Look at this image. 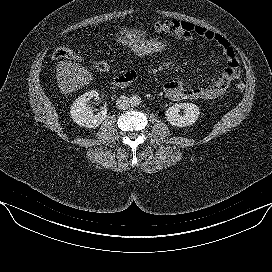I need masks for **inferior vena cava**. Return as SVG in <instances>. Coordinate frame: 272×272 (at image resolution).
<instances>
[{
	"instance_id": "inferior-vena-cava-1",
	"label": "inferior vena cava",
	"mask_w": 272,
	"mask_h": 272,
	"mask_svg": "<svg viewBox=\"0 0 272 272\" xmlns=\"http://www.w3.org/2000/svg\"><path fill=\"white\" fill-rule=\"evenodd\" d=\"M116 106L120 110H126V109L130 108V106H131L130 98H128L126 96H120L116 100Z\"/></svg>"
}]
</instances>
